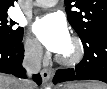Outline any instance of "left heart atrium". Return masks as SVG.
Wrapping results in <instances>:
<instances>
[{
	"mask_svg": "<svg viewBox=\"0 0 107 89\" xmlns=\"http://www.w3.org/2000/svg\"><path fill=\"white\" fill-rule=\"evenodd\" d=\"M33 32L49 51L58 54H61L70 43L67 24L57 14H49L36 20Z\"/></svg>",
	"mask_w": 107,
	"mask_h": 89,
	"instance_id": "left-heart-atrium-1",
	"label": "left heart atrium"
}]
</instances>
